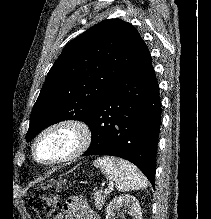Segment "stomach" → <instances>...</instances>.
I'll return each instance as SVG.
<instances>
[{"mask_svg":"<svg viewBox=\"0 0 211 219\" xmlns=\"http://www.w3.org/2000/svg\"><path fill=\"white\" fill-rule=\"evenodd\" d=\"M66 183V179L62 180L60 179L59 182H57V184H65ZM55 184V182H51V183H47V184H42L41 185V189L46 190L49 188H52V186Z\"/></svg>","mask_w":211,"mask_h":219,"instance_id":"stomach-1","label":"stomach"}]
</instances>
